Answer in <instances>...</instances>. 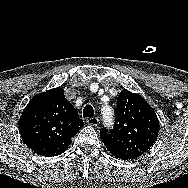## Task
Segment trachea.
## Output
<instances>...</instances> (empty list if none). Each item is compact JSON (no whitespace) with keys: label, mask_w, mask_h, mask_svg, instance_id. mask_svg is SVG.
<instances>
[{"label":"trachea","mask_w":188,"mask_h":188,"mask_svg":"<svg viewBox=\"0 0 188 188\" xmlns=\"http://www.w3.org/2000/svg\"><path fill=\"white\" fill-rule=\"evenodd\" d=\"M94 116V110L91 105H86L83 109V117H93Z\"/></svg>","instance_id":"3493384b"}]
</instances>
